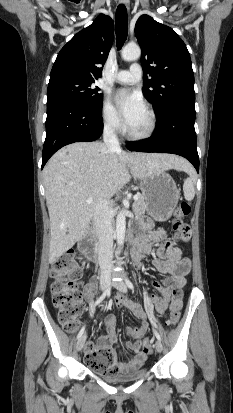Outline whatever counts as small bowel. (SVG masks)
I'll list each match as a JSON object with an SVG mask.
<instances>
[{"instance_id":"c3829d8e","label":"small bowel","mask_w":233,"mask_h":413,"mask_svg":"<svg viewBox=\"0 0 233 413\" xmlns=\"http://www.w3.org/2000/svg\"><path fill=\"white\" fill-rule=\"evenodd\" d=\"M140 226L147 230V233L143 237V243L139 246L140 264L142 258L151 253V243H158L156 250L157 259L154 261V265L160 273L168 275L163 284L153 281L152 285L157 291V294L152 296V302L160 314L166 312L170 302L171 308L176 304L181 308L182 287L185 284V276L190 270V261L182 258V248L174 246L172 242L166 238L163 229L150 231L151 223L148 220H142ZM188 235L186 231L183 239L186 240ZM95 289L96 284L91 282L85 287L84 291L85 298L91 307L93 306ZM116 305L118 308L128 309L141 322L139 327H128L126 329L127 334L134 338L135 341L124 343V347L133 352V356L126 362H117L118 370L125 371L130 368L140 367L146 359L147 353L143 349L141 339L148 330V323L146 321V314L138 302L118 295ZM100 319L106 328L107 334L99 339L97 345L90 344L88 346L86 358L88 356L97 357L101 349H112L111 346L117 343L116 320L114 316H101Z\"/></svg>"}]
</instances>
